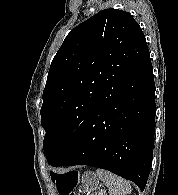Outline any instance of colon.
Wrapping results in <instances>:
<instances>
[{"label": "colon", "instance_id": "1", "mask_svg": "<svg viewBox=\"0 0 178 195\" xmlns=\"http://www.w3.org/2000/svg\"><path fill=\"white\" fill-rule=\"evenodd\" d=\"M77 181L78 173L76 171L67 172L58 183V189L61 195H75L74 188Z\"/></svg>", "mask_w": 178, "mask_h": 195}]
</instances>
